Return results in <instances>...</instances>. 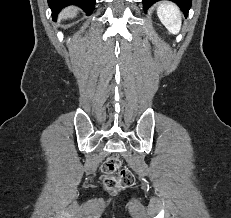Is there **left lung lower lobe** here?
<instances>
[{"label":"left lung lower lobe","instance_id":"left-lung-lower-lobe-1","mask_svg":"<svg viewBox=\"0 0 231 218\" xmlns=\"http://www.w3.org/2000/svg\"><path fill=\"white\" fill-rule=\"evenodd\" d=\"M157 1H160V0H142L144 9L145 10L148 9L153 3ZM171 1L175 2L181 8L185 16H187L188 11L191 7L192 0H171Z\"/></svg>","mask_w":231,"mask_h":218}]
</instances>
